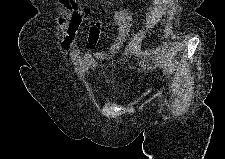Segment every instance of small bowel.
I'll return each mask as SVG.
<instances>
[{"mask_svg":"<svg viewBox=\"0 0 225 159\" xmlns=\"http://www.w3.org/2000/svg\"><path fill=\"white\" fill-rule=\"evenodd\" d=\"M162 5L163 3L160 1L155 3L154 15L158 14ZM88 13H90L89 10L72 8L68 20H66L64 17L59 18L58 20L59 26L61 28H65L66 30L65 36L61 41V48L63 50H68L70 48L80 27L82 16ZM114 18L116 19V21L120 26V32L109 49L105 51H95L93 53V58L95 59V61L92 62V68L96 72L112 68L113 66L119 64L123 60V58L129 55H135L140 57L141 59L140 64L143 66L150 56L155 55L159 52V50H154L150 54H148L142 51V49L140 48V43L143 39V35L136 34L134 36H131L132 16L127 9L121 7L115 8ZM100 34H101V22L95 18L94 26L90 29L87 36L86 49L88 52L93 51L96 48ZM126 39H128V43L124 50L123 58L116 60L110 65H104L98 62L112 58L117 53V51L119 50V48Z\"/></svg>","mask_w":225,"mask_h":159,"instance_id":"small-bowel-1","label":"small bowel"}]
</instances>
